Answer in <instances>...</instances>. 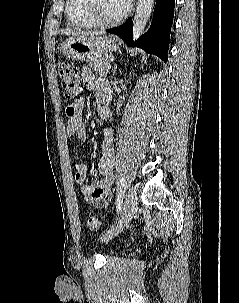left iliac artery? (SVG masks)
I'll return each mask as SVG.
<instances>
[{
    "instance_id": "44dca946",
    "label": "left iliac artery",
    "mask_w": 239,
    "mask_h": 303,
    "mask_svg": "<svg viewBox=\"0 0 239 303\" xmlns=\"http://www.w3.org/2000/svg\"><path fill=\"white\" fill-rule=\"evenodd\" d=\"M126 181L124 178H121L117 188V198H116V210L118 213L122 212V200L125 194Z\"/></svg>"
}]
</instances>
